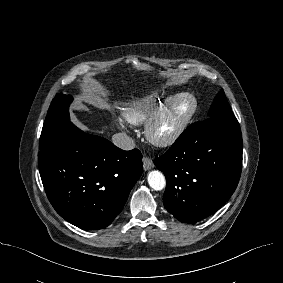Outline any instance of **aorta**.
Listing matches in <instances>:
<instances>
[{"instance_id": "aorta-1", "label": "aorta", "mask_w": 283, "mask_h": 283, "mask_svg": "<svg viewBox=\"0 0 283 283\" xmlns=\"http://www.w3.org/2000/svg\"><path fill=\"white\" fill-rule=\"evenodd\" d=\"M148 183L152 189L160 191L165 187L166 180L162 172L154 170L148 174Z\"/></svg>"}]
</instances>
